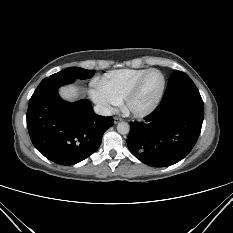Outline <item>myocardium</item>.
Here are the masks:
<instances>
[{
  "label": "myocardium",
  "instance_id": "f54148a6",
  "mask_svg": "<svg viewBox=\"0 0 233 233\" xmlns=\"http://www.w3.org/2000/svg\"><path fill=\"white\" fill-rule=\"evenodd\" d=\"M152 72H157L161 75V77H162L161 89H160L158 95L156 96V98L149 105H147L146 107H143V108H136L133 105L134 99L139 94L144 80ZM165 88H166V78H165V75L163 74V72H161L158 69H154V68L148 69L146 72H144L138 78V80L135 82V84L131 87V89L125 95V97L123 99L124 111L127 114L134 116L136 118H142V117H145V116L151 114L159 106V104L163 98Z\"/></svg>",
  "mask_w": 233,
  "mask_h": 233
}]
</instances>
